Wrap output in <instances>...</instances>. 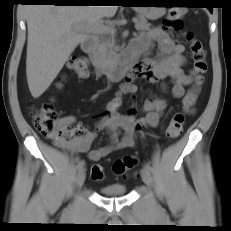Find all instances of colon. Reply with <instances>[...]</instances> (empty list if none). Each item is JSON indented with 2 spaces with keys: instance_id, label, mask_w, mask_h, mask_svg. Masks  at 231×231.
<instances>
[{
  "instance_id": "colon-1",
  "label": "colon",
  "mask_w": 231,
  "mask_h": 231,
  "mask_svg": "<svg viewBox=\"0 0 231 231\" xmlns=\"http://www.w3.org/2000/svg\"><path fill=\"white\" fill-rule=\"evenodd\" d=\"M185 10L183 8H172L169 10L166 18L163 20L165 29L175 32L183 30V20ZM186 40L190 47L193 69L198 82L203 81L204 74L207 72L208 63L206 59V51L202 42L195 38L192 32L185 33ZM67 67L78 78L84 79L88 75V61L84 57L74 56L69 59ZM185 122V113L180 111L171 118L167 129L166 136L169 139H177L183 130ZM33 125L36 130L45 138L50 139L59 147H67L72 142L83 138L86 131L82 128H72L63 124L57 117L51 104L42 105L33 115ZM136 163L133 156L127 155L117 159L113 164V172L118 176H125L128 169L132 168ZM91 178L100 181L104 178V168L100 164H94L91 167Z\"/></svg>"
}]
</instances>
